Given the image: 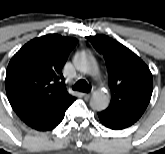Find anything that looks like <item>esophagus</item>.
<instances>
[{
	"label": "esophagus",
	"instance_id": "1",
	"mask_svg": "<svg viewBox=\"0 0 165 154\" xmlns=\"http://www.w3.org/2000/svg\"><path fill=\"white\" fill-rule=\"evenodd\" d=\"M91 96V94L89 93V94H85V97L86 98H89Z\"/></svg>",
	"mask_w": 165,
	"mask_h": 154
}]
</instances>
